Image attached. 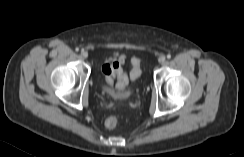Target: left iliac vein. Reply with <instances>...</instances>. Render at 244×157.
Listing matches in <instances>:
<instances>
[{"label": "left iliac vein", "mask_w": 244, "mask_h": 157, "mask_svg": "<svg viewBox=\"0 0 244 157\" xmlns=\"http://www.w3.org/2000/svg\"><path fill=\"white\" fill-rule=\"evenodd\" d=\"M158 61H159V63L164 64L165 61H166L165 56H160V57L158 58Z\"/></svg>", "instance_id": "1"}]
</instances>
